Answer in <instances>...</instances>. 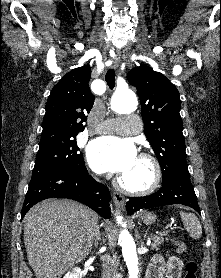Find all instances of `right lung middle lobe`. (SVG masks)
Returning <instances> with one entry per match:
<instances>
[{"mask_svg":"<svg viewBox=\"0 0 221 278\" xmlns=\"http://www.w3.org/2000/svg\"><path fill=\"white\" fill-rule=\"evenodd\" d=\"M83 155L75 136L40 142L31 182L58 171H82Z\"/></svg>","mask_w":221,"mask_h":278,"instance_id":"1","label":"right lung middle lobe"}]
</instances>
